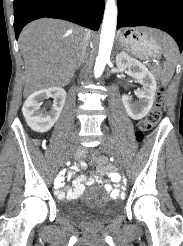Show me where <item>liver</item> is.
<instances>
[{
  "mask_svg": "<svg viewBox=\"0 0 183 246\" xmlns=\"http://www.w3.org/2000/svg\"><path fill=\"white\" fill-rule=\"evenodd\" d=\"M92 33L57 19H39L21 32L19 43L25 63L24 96L66 85L72 78L83 38Z\"/></svg>",
  "mask_w": 183,
  "mask_h": 246,
  "instance_id": "liver-1",
  "label": "liver"
}]
</instances>
